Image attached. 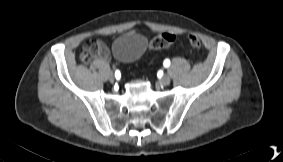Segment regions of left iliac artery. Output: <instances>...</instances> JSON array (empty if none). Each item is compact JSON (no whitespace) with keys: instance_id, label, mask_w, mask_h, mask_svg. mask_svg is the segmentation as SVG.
<instances>
[{"instance_id":"44dca946","label":"left iliac artery","mask_w":283,"mask_h":162,"mask_svg":"<svg viewBox=\"0 0 283 162\" xmlns=\"http://www.w3.org/2000/svg\"><path fill=\"white\" fill-rule=\"evenodd\" d=\"M169 65H170V60L166 59V60L164 61V66H165V67H168Z\"/></svg>"}]
</instances>
